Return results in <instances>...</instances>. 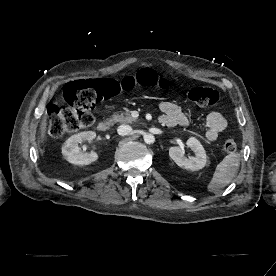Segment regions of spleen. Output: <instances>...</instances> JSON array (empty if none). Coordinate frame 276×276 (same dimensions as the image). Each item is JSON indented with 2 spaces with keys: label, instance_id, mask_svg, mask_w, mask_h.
<instances>
[{
  "label": "spleen",
  "instance_id": "1",
  "mask_svg": "<svg viewBox=\"0 0 276 276\" xmlns=\"http://www.w3.org/2000/svg\"><path fill=\"white\" fill-rule=\"evenodd\" d=\"M240 154L230 153L216 166L213 177L207 186L209 192L217 193L227 186L237 174Z\"/></svg>",
  "mask_w": 276,
  "mask_h": 276
}]
</instances>
